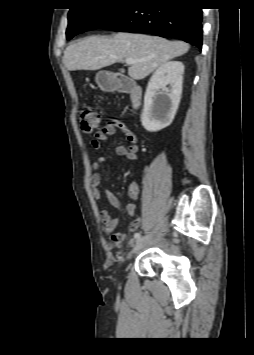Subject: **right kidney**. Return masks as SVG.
<instances>
[{
    "instance_id": "1",
    "label": "right kidney",
    "mask_w": 254,
    "mask_h": 355,
    "mask_svg": "<svg viewBox=\"0 0 254 355\" xmlns=\"http://www.w3.org/2000/svg\"><path fill=\"white\" fill-rule=\"evenodd\" d=\"M183 73L182 62L167 61L152 75L141 115L142 125L148 132L160 131L172 123L181 99Z\"/></svg>"
}]
</instances>
